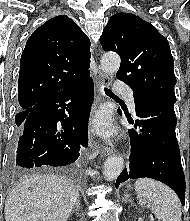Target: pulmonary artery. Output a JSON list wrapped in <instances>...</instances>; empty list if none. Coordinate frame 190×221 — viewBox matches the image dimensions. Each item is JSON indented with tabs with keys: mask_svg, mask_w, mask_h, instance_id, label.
<instances>
[{
	"mask_svg": "<svg viewBox=\"0 0 190 221\" xmlns=\"http://www.w3.org/2000/svg\"><path fill=\"white\" fill-rule=\"evenodd\" d=\"M117 90H119L120 92H122L124 94V97L129 105V108L132 112L135 111V102H134V96H133V92L130 88H127L125 86H123L122 84H117L116 86Z\"/></svg>",
	"mask_w": 190,
	"mask_h": 221,
	"instance_id": "obj_1",
	"label": "pulmonary artery"
}]
</instances>
